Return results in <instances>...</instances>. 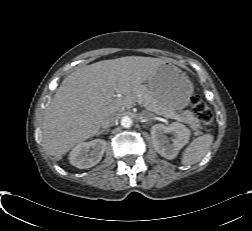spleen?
<instances>
[{"mask_svg":"<svg viewBox=\"0 0 252 231\" xmlns=\"http://www.w3.org/2000/svg\"><path fill=\"white\" fill-rule=\"evenodd\" d=\"M213 143V135L204 134L194 139L182 154L183 165H193L199 162L210 149Z\"/></svg>","mask_w":252,"mask_h":231,"instance_id":"1","label":"spleen"}]
</instances>
